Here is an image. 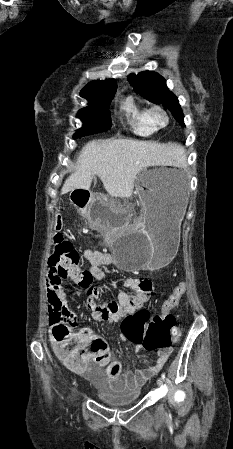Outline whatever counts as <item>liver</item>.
Returning <instances> with one entry per match:
<instances>
[{"instance_id": "obj_1", "label": "liver", "mask_w": 233, "mask_h": 449, "mask_svg": "<svg viewBox=\"0 0 233 449\" xmlns=\"http://www.w3.org/2000/svg\"><path fill=\"white\" fill-rule=\"evenodd\" d=\"M178 152L177 145L172 143L130 139L90 141L82 148L75 171L65 181L61 192L88 190L97 174L109 195L130 198L140 171L167 164Z\"/></svg>"}]
</instances>
